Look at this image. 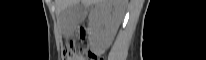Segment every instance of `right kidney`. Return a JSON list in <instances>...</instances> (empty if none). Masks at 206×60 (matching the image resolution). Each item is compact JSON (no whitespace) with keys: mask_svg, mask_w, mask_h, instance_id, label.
<instances>
[{"mask_svg":"<svg viewBox=\"0 0 206 60\" xmlns=\"http://www.w3.org/2000/svg\"><path fill=\"white\" fill-rule=\"evenodd\" d=\"M123 3L120 0H106L99 3L92 15L90 41L96 49L107 48L123 17Z\"/></svg>","mask_w":206,"mask_h":60,"instance_id":"obj_1","label":"right kidney"}]
</instances>
